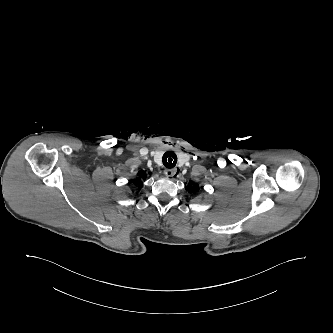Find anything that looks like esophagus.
I'll return each mask as SVG.
<instances>
[{
  "instance_id": "esophagus-1",
  "label": "esophagus",
  "mask_w": 333,
  "mask_h": 333,
  "mask_svg": "<svg viewBox=\"0 0 333 333\" xmlns=\"http://www.w3.org/2000/svg\"><path fill=\"white\" fill-rule=\"evenodd\" d=\"M177 173V169L176 168H172V169H165L164 174L167 177H173L174 175H176Z\"/></svg>"
}]
</instances>
